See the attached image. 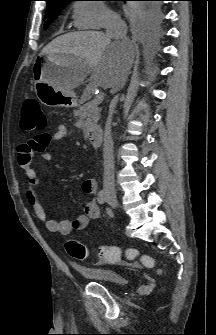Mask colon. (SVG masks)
Returning a JSON list of instances; mask_svg holds the SVG:
<instances>
[{"label": "colon", "mask_w": 216, "mask_h": 335, "mask_svg": "<svg viewBox=\"0 0 216 335\" xmlns=\"http://www.w3.org/2000/svg\"><path fill=\"white\" fill-rule=\"evenodd\" d=\"M47 127L46 117L40 107V103L33 97L27 98L22 105L21 128L25 132H37L38 135L30 141L34 151H41L46 144L48 134L45 133ZM67 253L74 259L84 260L89 256L88 249L85 245L74 238H69L65 242ZM97 254L103 262L117 263L121 261L133 262L139 255L134 248L121 250L117 246H101ZM141 265L147 268L155 266L154 259L150 255L140 256ZM161 272V270H158Z\"/></svg>", "instance_id": "1"}]
</instances>
